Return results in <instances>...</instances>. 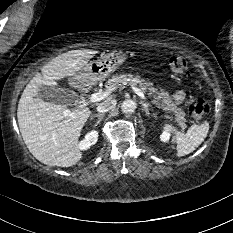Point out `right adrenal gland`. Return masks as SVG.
<instances>
[{
    "label": "right adrenal gland",
    "mask_w": 233,
    "mask_h": 233,
    "mask_svg": "<svg viewBox=\"0 0 233 233\" xmlns=\"http://www.w3.org/2000/svg\"><path fill=\"white\" fill-rule=\"evenodd\" d=\"M95 117L98 118V121H97V123L95 124V126H97V125L100 123V121L103 119L104 114H101V113H99V114H94V115H92V116L90 117V120H92V119L95 118Z\"/></svg>",
    "instance_id": "2a0ac1e0"
}]
</instances>
